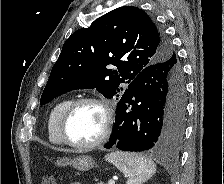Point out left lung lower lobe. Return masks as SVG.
<instances>
[{
  "label": "left lung lower lobe",
  "mask_w": 224,
  "mask_h": 184,
  "mask_svg": "<svg viewBox=\"0 0 224 184\" xmlns=\"http://www.w3.org/2000/svg\"><path fill=\"white\" fill-rule=\"evenodd\" d=\"M177 59L144 68L129 84L116 109L113 134L104 147L171 153L181 144L186 87Z\"/></svg>",
  "instance_id": "1"
}]
</instances>
